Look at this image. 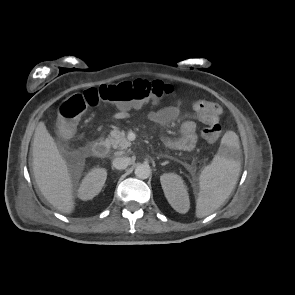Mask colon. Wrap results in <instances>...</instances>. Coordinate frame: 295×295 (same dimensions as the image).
I'll return each instance as SVG.
<instances>
[{"label":"colon","instance_id":"obj_1","mask_svg":"<svg viewBox=\"0 0 295 295\" xmlns=\"http://www.w3.org/2000/svg\"><path fill=\"white\" fill-rule=\"evenodd\" d=\"M172 92L173 87L169 84L143 79L89 88L61 103L58 109V132L62 137H69L74 132L81 115L99 103L106 102L118 108L135 109L147 103H156ZM202 135L208 142H216L221 135L220 124L218 122L209 124Z\"/></svg>","mask_w":295,"mask_h":295}]
</instances>
